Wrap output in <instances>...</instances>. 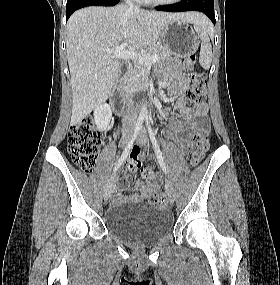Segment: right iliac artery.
<instances>
[{
    "mask_svg": "<svg viewBox=\"0 0 280 285\" xmlns=\"http://www.w3.org/2000/svg\"><path fill=\"white\" fill-rule=\"evenodd\" d=\"M143 121H144L143 117H139L138 118L136 126H135V129H134V132H133V135L130 138L126 148L124 149L121 157L119 158L118 162L116 163V165H115V167L113 169L114 173L121 167L123 162L126 160V158H127L128 154H129L131 148L133 147L134 141H135V139L137 138V136L139 134V131H140L141 127H142Z\"/></svg>",
    "mask_w": 280,
    "mask_h": 285,
    "instance_id": "obj_1",
    "label": "right iliac artery"
}]
</instances>
